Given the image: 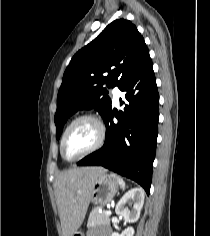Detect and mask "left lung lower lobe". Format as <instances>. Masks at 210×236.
Wrapping results in <instances>:
<instances>
[{"instance_id": "left-lung-lower-lobe-1", "label": "left lung lower lobe", "mask_w": 210, "mask_h": 236, "mask_svg": "<svg viewBox=\"0 0 210 236\" xmlns=\"http://www.w3.org/2000/svg\"><path fill=\"white\" fill-rule=\"evenodd\" d=\"M125 105L120 114L114 110L106 117V139L103 147L78 165H101L139 183L149 195L152 167L158 135L159 94L149 60L120 89ZM114 115L118 123L114 124Z\"/></svg>"}]
</instances>
